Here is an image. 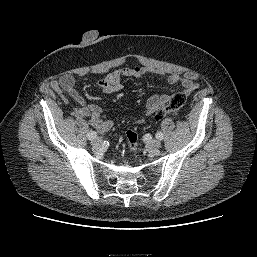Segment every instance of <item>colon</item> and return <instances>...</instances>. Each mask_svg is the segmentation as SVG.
<instances>
[{
  "label": "colon",
  "mask_w": 257,
  "mask_h": 257,
  "mask_svg": "<svg viewBox=\"0 0 257 257\" xmlns=\"http://www.w3.org/2000/svg\"><path fill=\"white\" fill-rule=\"evenodd\" d=\"M187 96L185 93L173 94L168 102L157 110L155 119L157 121L163 119L168 113L180 110L186 103ZM127 147L134 151L137 147V134L133 131H127L125 135Z\"/></svg>",
  "instance_id": "1"
}]
</instances>
